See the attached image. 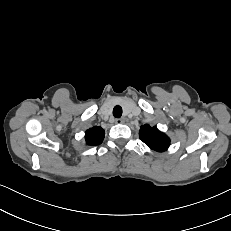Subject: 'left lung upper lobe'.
Wrapping results in <instances>:
<instances>
[{
  "label": "left lung upper lobe",
  "mask_w": 231,
  "mask_h": 231,
  "mask_svg": "<svg viewBox=\"0 0 231 231\" xmlns=\"http://www.w3.org/2000/svg\"><path fill=\"white\" fill-rule=\"evenodd\" d=\"M139 136L148 147L158 152L167 150L170 145V139L156 126L151 127L148 124L141 126Z\"/></svg>",
  "instance_id": "1"
}]
</instances>
